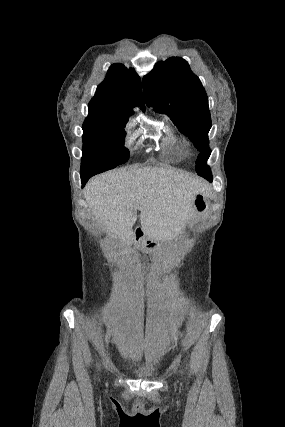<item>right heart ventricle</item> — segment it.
Returning a JSON list of instances; mask_svg holds the SVG:
<instances>
[{
  "label": "right heart ventricle",
  "mask_w": 285,
  "mask_h": 427,
  "mask_svg": "<svg viewBox=\"0 0 285 427\" xmlns=\"http://www.w3.org/2000/svg\"><path fill=\"white\" fill-rule=\"evenodd\" d=\"M169 143H174V140H169Z\"/></svg>",
  "instance_id": "1"
}]
</instances>
